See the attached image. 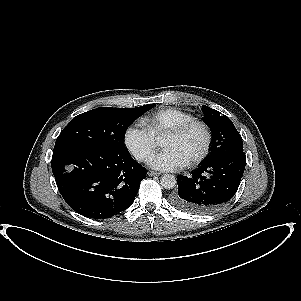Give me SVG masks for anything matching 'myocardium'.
Wrapping results in <instances>:
<instances>
[{"mask_svg": "<svg viewBox=\"0 0 301 301\" xmlns=\"http://www.w3.org/2000/svg\"><path fill=\"white\" fill-rule=\"evenodd\" d=\"M194 126L201 128L203 135H204V142H203L201 149L187 161L188 165H193V164L200 162L206 156V154L209 150L210 142H211V135H210L209 129L205 123H203L202 121H199V120H191L189 122H186L184 124H181L175 128H172V129L166 131L163 134L162 139H161V143H162L163 140L167 137L180 136Z\"/></svg>", "mask_w": 301, "mask_h": 301, "instance_id": "1", "label": "myocardium"}]
</instances>
